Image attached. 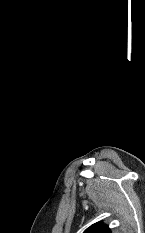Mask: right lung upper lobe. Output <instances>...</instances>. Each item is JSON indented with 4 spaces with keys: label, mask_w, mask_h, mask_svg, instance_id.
Instances as JSON below:
<instances>
[{
    "label": "right lung upper lobe",
    "mask_w": 145,
    "mask_h": 233,
    "mask_svg": "<svg viewBox=\"0 0 145 233\" xmlns=\"http://www.w3.org/2000/svg\"><path fill=\"white\" fill-rule=\"evenodd\" d=\"M84 233H111L110 229L108 228L107 225L97 222L87 228Z\"/></svg>",
    "instance_id": "obj_1"
}]
</instances>
